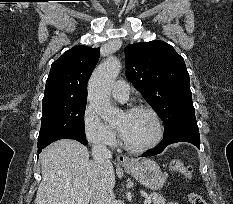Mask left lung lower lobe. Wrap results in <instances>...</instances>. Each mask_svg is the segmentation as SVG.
Wrapping results in <instances>:
<instances>
[{
    "label": "left lung lower lobe",
    "mask_w": 233,
    "mask_h": 204,
    "mask_svg": "<svg viewBox=\"0 0 233 204\" xmlns=\"http://www.w3.org/2000/svg\"><path fill=\"white\" fill-rule=\"evenodd\" d=\"M177 142H189L200 149V135L198 128H181L174 131L171 135L164 137L156 148L144 153L142 157L159 154L167 145Z\"/></svg>",
    "instance_id": "1"
}]
</instances>
